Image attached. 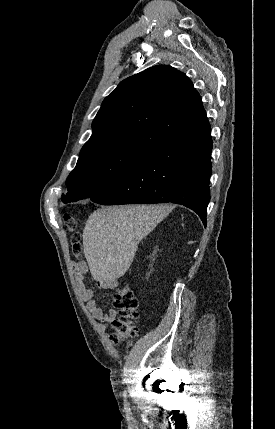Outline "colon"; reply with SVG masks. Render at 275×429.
Masks as SVG:
<instances>
[{
    "label": "colon",
    "instance_id": "obj_1",
    "mask_svg": "<svg viewBox=\"0 0 275 429\" xmlns=\"http://www.w3.org/2000/svg\"><path fill=\"white\" fill-rule=\"evenodd\" d=\"M64 222L69 230H73L74 220L69 214L64 215ZM71 251L76 259L81 257L82 249L76 235H73ZM113 303L120 315L113 323L115 332L111 339L114 343H120L136 334L132 321L137 317L138 300L134 292L129 287L124 286L116 291Z\"/></svg>",
    "mask_w": 275,
    "mask_h": 429
}]
</instances>
